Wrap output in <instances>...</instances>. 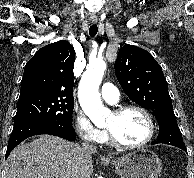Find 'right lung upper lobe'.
Wrapping results in <instances>:
<instances>
[{"mask_svg":"<svg viewBox=\"0 0 194 178\" xmlns=\"http://www.w3.org/2000/svg\"><path fill=\"white\" fill-rule=\"evenodd\" d=\"M75 50L65 40L39 49L25 66L19 100L33 97L73 98Z\"/></svg>","mask_w":194,"mask_h":178,"instance_id":"1","label":"right lung upper lobe"}]
</instances>
